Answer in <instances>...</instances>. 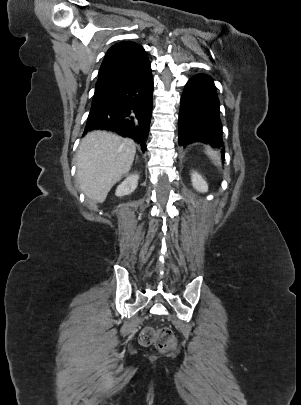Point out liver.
<instances>
[{"label":"liver","instance_id":"1","mask_svg":"<svg viewBox=\"0 0 301 405\" xmlns=\"http://www.w3.org/2000/svg\"><path fill=\"white\" fill-rule=\"evenodd\" d=\"M136 144L106 131L88 133L76 154V177L86 197L98 203L105 201L111 188L132 166Z\"/></svg>","mask_w":301,"mask_h":405}]
</instances>
